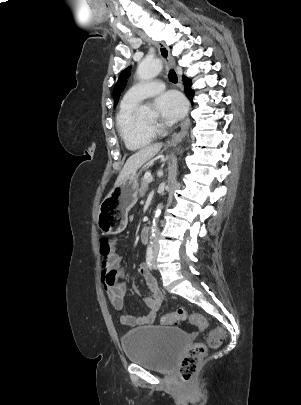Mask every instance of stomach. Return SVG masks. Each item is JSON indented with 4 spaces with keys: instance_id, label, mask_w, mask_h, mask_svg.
Instances as JSON below:
<instances>
[{
    "instance_id": "stomach-1",
    "label": "stomach",
    "mask_w": 301,
    "mask_h": 405,
    "mask_svg": "<svg viewBox=\"0 0 301 405\" xmlns=\"http://www.w3.org/2000/svg\"><path fill=\"white\" fill-rule=\"evenodd\" d=\"M138 194L137 174L113 187L99 207L97 224L103 233H120L126 228L128 212L135 205Z\"/></svg>"
}]
</instances>
